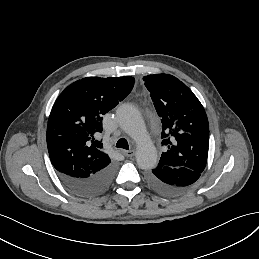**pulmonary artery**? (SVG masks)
I'll return each mask as SVG.
<instances>
[{
    "label": "pulmonary artery",
    "mask_w": 259,
    "mask_h": 259,
    "mask_svg": "<svg viewBox=\"0 0 259 259\" xmlns=\"http://www.w3.org/2000/svg\"><path fill=\"white\" fill-rule=\"evenodd\" d=\"M121 128L135 139L145 135V126L139 118L126 117L120 122Z\"/></svg>",
    "instance_id": "1"
}]
</instances>
